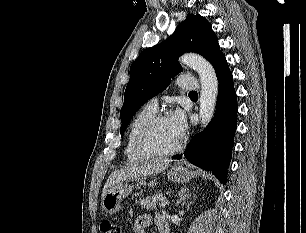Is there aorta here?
<instances>
[{"label":"aorta","instance_id":"1","mask_svg":"<svg viewBox=\"0 0 306 233\" xmlns=\"http://www.w3.org/2000/svg\"><path fill=\"white\" fill-rule=\"evenodd\" d=\"M180 62L199 74L201 81L199 117L202 127H206L213 117L218 95V79L215 70L210 62L194 53L184 54Z\"/></svg>","mask_w":306,"mask_h":233}]
</instances>
